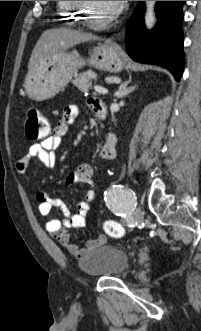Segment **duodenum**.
<instances>
[{
	"mask_svg": "<svg viewBox=\"0 0 201 331\" xmlns=\"http://www.w3.org/2000/svg\"><path fill=\"white\" fill-rule=\"evenodd\" d=\"M98 116L101 117V118H103L105 116V113L104 112H99L98 113Z\"/></svg>",
	"mask_w": 201,
	"mask_h": 331,
	"instance_id": "410a0bca",
	"label": "duodenum"
}]
</instances>
